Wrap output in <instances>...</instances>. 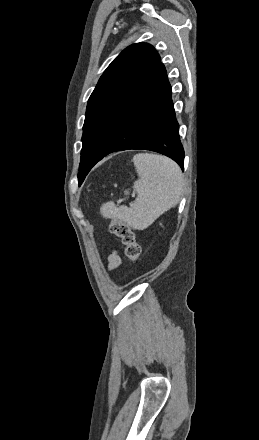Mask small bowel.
Returning a JSON list of instances; mask_svg holds the SVG:
<instances>
[{"label":"small bowel","mask_w":259,"mask_h":440,"mask_svg":"<svg viewBox=\"0 0 259 440\" xmlns=\"http://www.w3.org/2000/svg\"><path fill=\"white\" fill-rule=\"evenodd\" d=\"M107 262L108 269L114 270L121 264V258L116 251H112L107 257Z\"/></svg>","instance_id":"c3829d8e"}]
</instances>
